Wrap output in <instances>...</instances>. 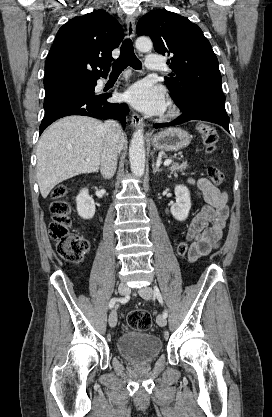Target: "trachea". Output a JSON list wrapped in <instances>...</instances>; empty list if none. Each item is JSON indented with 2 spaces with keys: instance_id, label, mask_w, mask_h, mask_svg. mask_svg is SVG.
Returning <instances> with one entry per match:
<instances>
[{
  "instance_id": "trachea-1",
  "label": "trachea",
  "mask_w": 272,
  "mask_h": 417,
  "mask_svg": "<svg viewBox=\"0 0 272 417\" xmlns=\"http://www.w3.org/2000/svg\"><path fill=\"white\" fill-rule=\"evenodd\" d=\"M128 65L136 70L142 67L141 62L134 53L132 41L125 39L121 45L119 58L113 63L111 75H119Z\"/></svg>"
}]
</instances>
